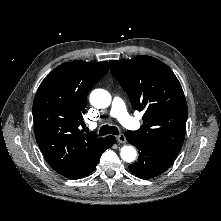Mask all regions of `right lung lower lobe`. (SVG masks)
I'll use <instances>...</instances> for the list:
<instances>
[{"label":"right lung lower lobe","mask_w":221,"mask_h":221,"mask_svg":"<svg viewBox=\"0 0 221 221\" xmlns=\"http://www.w3.org/2000/svg\"><path fill=\"white\" fill-rule=\"evenodd\" d=\"M115 143V137L114 136H108L106 137V139L104 140V143L102 145V147L96 151L84 164V166L73 176L69 177L70 179H79L82 178L88 174H90L95 167L97 166L100 157L102 155V153L107 150L108 148H110L113 144Z\"/></svg>","instance_id":"98d812e1"}]
</instances>
